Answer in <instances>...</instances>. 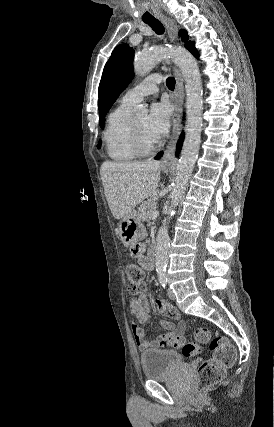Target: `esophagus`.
I'll list each match as a JSON object with an SVG mask.
<instances>
[{
  "instance_id": "esophagus-1",
  "label": "esophagus",
  "mask_w": 274,
  "mask_h": 427,
  "mask_svg": "<svg viewBox=\"0 0 274 427\" xmlns=\"http://www.w3.org/2000/svg\"><path fill=\"white\" fill-rule=\"evenodd\" d=\"M160 18L166 27L167 34L170 41L175 42L178 34V29L174 21L171 18L166 17L165 15H160ZM174 74L176 78V88H175L174 98H173L175 113L173 116L171 137L167 142L163 157L160 161L161 167H170L171 164L175 163V156H174L175 146H176L178 137L180 135L181 126H182L181 119H182L183 101H184V80L181 73L176 67H174Z\"/></svg>"
}]
</instances>
